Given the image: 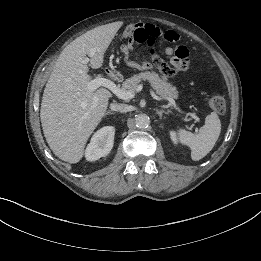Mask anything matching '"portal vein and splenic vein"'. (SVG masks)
Masks as SVG:
<instances>
[{"instance_id": "1", "label": "portal vein and splenic vein", "mask_w": 261, "mask_h": 261, "mask_svg": "<svg viewBox=\"0 0 261 261\" xmlns=\"http://www.w3.org/2000/svg\"><path fill=\"white\" fill-rule=\"evenodd\" d=\"M91 56V55H90ZM86 62H88V58L86 59ZM106 87L108 89H110L118 98L122 99V100H130L132 98H134L135 96V92H139L142 89V85H139L136 89L135 92L132 91H124L122 88H119L118 86H116V84L114 82H112L109 79L97 76L95 77L93 80L89 81L87 84V88L91 91L96 90L99 87ZM150 94L151 96L158 101H162V100H167L169 101L168 106H172L174 107L179 113H184L174 102V100L172 98H162L159 97L155 94V92L150 89ZM187 115L191 116L195 121L199 122V118L192 113H187Z\"/></svg>"}]
</instances>
